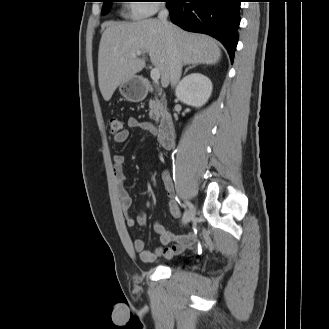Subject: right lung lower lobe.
<instances>
[{
	"mask_svg": "<svg viewBox=\"0 0 329 329\" xmlns=\"http://www.w3.org/2000/svg\"><path fill=\"white\" fill-rule=\"evenodd\" d=\"M241 0H167L171 21L184 30L204 33L223 43L231 61L238 42Z\"/></svg>",
	"mask_w": 329,
	"mask_h": 329,
	"instance_id": "right-lung-lower-lobe-1",
	"label": "right lung lower lobe"
}]
</instances>
